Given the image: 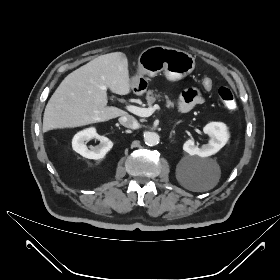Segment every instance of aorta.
I'll list each match as a JSON object with an SVG mask.
<instances>
[{"label":"aorta","mask_w":280,"mask_h":280,"mask_svg":"<svg viewBox=\"0 0 280 280\" xmlns=\"http://www.w3.org/2000/svg\"><path fill=\"white\" fill-rule=\"evenodd\" d=\"M160 137L156 132H147L144 135V142L148 146H155L159 143Z\"/></svg>","instance_id":"1"}]
</instances>
